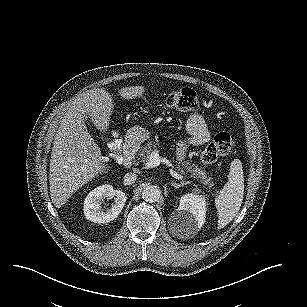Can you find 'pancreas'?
<instances>
[{"label":"pancreas","mask_w":307,"mask_h":307,"mask_svg":"<svg viewBox=\"0 0 307 307\" xmlns=\"http://www.w3.org/2000/svg\"><path fill=\"white\" fill-rule=\"evenodd\" d=\"M155 148H157L155 143L151 140H148V142L143 147H141L139 151L136 153L137 161L147 166L149 164V155ZM187 170H190L192 172L193 177L199 178L200 182L204 184L206 188H212L213 186L216 185V183L213 182L211 178H208L206 176L205 171H200L198 169H192V166L188 167Z\"/></svg>","instance_id":"pancreas-1"}]
</instances>
